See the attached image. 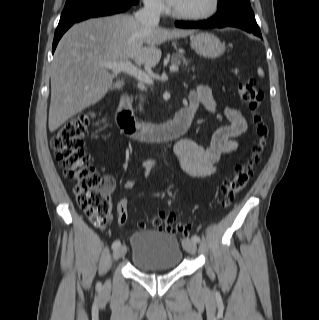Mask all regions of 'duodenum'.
<instances>
[{
  "instance_id": "obj_1",
  "label": "duodenum",
  "mask_w": 319,
  "mask_h": 320,
  "mask_svg": "<svg viewBox=\"0 0 319 320\" xmlns=\"http://www.w3.org/2000/svg\"><path fill=\"white\" fill-rule=\"evenodd\" d=\"M193 114L189 107H183L168 123H138L132 116L127 98L122 97L117 113V122L120 129L135 140L164 142L177 138L186 132L192 122Z\"/></svg>"
}]
</instances>
